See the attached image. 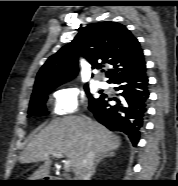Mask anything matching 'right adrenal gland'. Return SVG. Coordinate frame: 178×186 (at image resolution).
<instances>
[{
    "label": "right adrenal gland",
    "mask_w": 178,
    "mask_h": 186,
    "mask_svg": "<svg viewBox=\"0 0 178 186\" xmlns=\"http://www.w3.org/2000/svg\"><path fill=\"white\" fill-rule=\"evenodd\" d=\"M114 156V153L112 152H103V153H100L98 156H97V159H96V163L93 167V171H92V175L95 174L96 172V168H97V165L103 161L104 159H107V158H111Z\"/></svg>",
    "instance_id": "right-adrenal-gland-1"
}]
</instances>
